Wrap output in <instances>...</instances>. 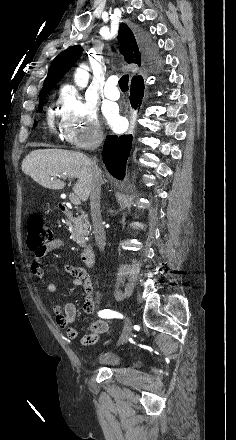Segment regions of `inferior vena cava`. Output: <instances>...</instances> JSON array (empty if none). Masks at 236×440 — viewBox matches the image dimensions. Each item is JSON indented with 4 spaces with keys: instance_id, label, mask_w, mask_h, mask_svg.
I'll use <instances>...</instances> for the list:
<instances>
[{
    "instance_id": "1",
    "label": "inferior vena cava",
    "mask_w": 236,
    "mask_h": 440,
    "mask_svg": "<svg viewBox=\"0 0 236 440\" xmlns=\"http://www.w3.org/2000/svg\"><path fill=\"white\" fill-rule=\"evenodd\" d=\"M103 141V136L100 133H95L93 136L92 149H96ZM93 184L90 192V208L91 217L93 222L94 234L96 244L101 251L104 250L106 245V235L102 224L101 210H100V195H101V185L103 183L101 171L97 165L96 157L93 158Z\"/></svg>"
}]
</instances>
